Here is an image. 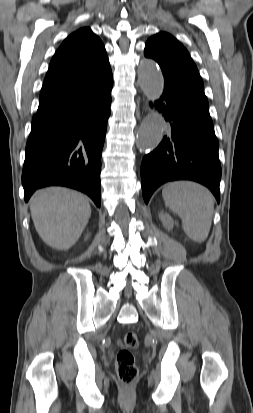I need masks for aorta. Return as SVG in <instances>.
Returning a JSON list of instances; mask_svg holds the SVG:
<instances>
[{
    "instance_id": "762f6f07",
    "label": "aorta",
    "mask_w": 253,
    "mask_h": 413,
    "mask_svg": "<svg viewBox=\"0 0 253 413\" xmlns=\"http://www.w3.org/2000/svg\"><path fill=\"white\" fill-rule=\"evenodd\" d=\"M139 85L146 97L155 101L162 95L164 79L156 63L151 59H144L138 69ZM164 119L153 110L141 123L137 132L136 145L142 150H153L162 140Z\"/></svg>"
}]
</instances>
